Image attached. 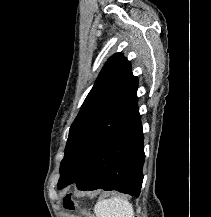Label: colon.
<instances>
[{
	"mask_svg": "<svg viewBox=\"0 0 211 217\" xmlns=\"http://www.w3.org/2000/svg\"><path fill=\"white\" fill-rule=\"evenodd\" d=\"M64 207L70 211L75 210L76 207L75 202L72 200V198L69 195L64 198ZM84 215L85 217H93L92 215L87 213H84Z\"/></svg>",
	"mask_w": 211,
	"mask_h": 217,
	"instance_id": "1",
	"label": "colon"
}]
</instances>
